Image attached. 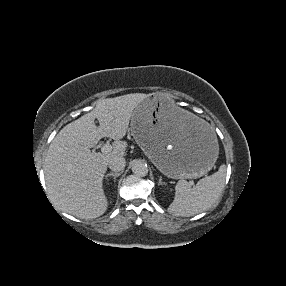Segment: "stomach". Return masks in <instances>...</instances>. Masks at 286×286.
<instances>
[{
  "label": "stomach",
  "instance_id": "obj_1",
  "mask_svg": "<svg viewBox=\"0 0 286 286\" xmlns=\"http://www.w3.org/2000/svg\"><path fill=\"white\" fill-rule=\"evenodd\" d=\"M130 131L156 168L170 178H199L218 158L217 131L173 97L145 96L132 114Z\"/></svg>",
  "mask_w": 286,
  "mask_h": 286
}]
</instances>
